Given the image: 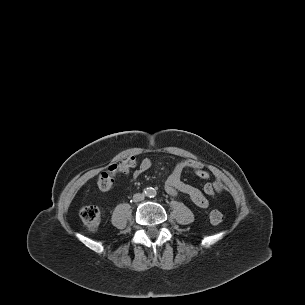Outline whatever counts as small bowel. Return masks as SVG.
I'll list each match as a JSON object with an SVG mask.
<instances>
[{"label":"small bowel","mask_w":305,"mask_h":305,"mask_svg":"<svg viewBox=\"0 0 305 305\" xmlns=\"http://www.w3.org/2000/svg\"><path fill=\"white\" fill-rule=\"evenodd\" d=\"M151 166V161L148 158H143L140 161L139 167L135 172V175H138L146 170H148ZM186 167H191L194 170V173L202 178L207 179L209 177V173L203 168V165L200 162L184 159L180 160L176 163L173 171L169 175L168 179L165 182L164 188L167 193L175 194L177 191L183 192L188 194L192 201L199 207L205 208L208 206L209 201L207 195H212L214 193H220L223 190V187L218 182H207L203 189L200 190L199 188L186 183L182 177V171Z\"/></svg>","instance_id":"obj_1"}]
</instances>
